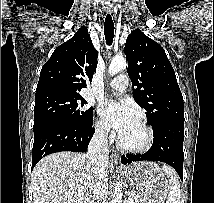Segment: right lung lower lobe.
Listing matches in <instances>:
<instances>
[{"instance_id":"right-lung-lower-lobe-1","label":"right lung lower lobe","mask_w":214,"mask_h":203,"mask_svg":"<svg viewBox=\"0 0 214 203\" xmlns=\"http://www.w3.org/2000/svg\"><path fill=\"white\" fill-rule=\"evenodd\" d=\"M34 144L32 169L44 156L61 151L85 152L95 132L92 123L88 126L51 120L33 127Z\"/></svg>"}]
</instances>
